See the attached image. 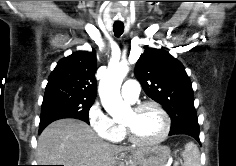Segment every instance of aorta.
I'll list each match as a JSON object with an SVG mask.
<instances>
[{
  "instance_id": "aorta-1",
  "label": "aorta",
  "mask_w": 236,
  "mask_h": 166,
  "mask_svg": "<svg viewBox=\"0 0 236 166\" xmlns=\"http://www.w3.org/2000/svg\"><path fill=\"white\" fill-rule=\"evenodd\" d=\"M129 68L126 63L110 66L99 83V96L104 109L113 117L118 118L129 111L120 95V87Z\"/></svg>"
}]
</instances>
